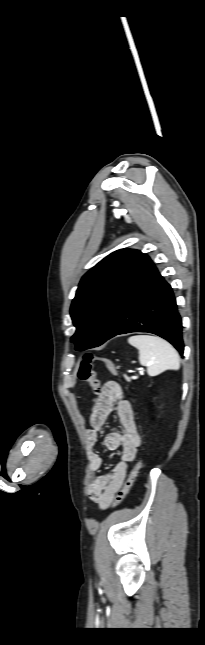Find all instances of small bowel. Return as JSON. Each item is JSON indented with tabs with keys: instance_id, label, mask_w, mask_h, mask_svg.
<instances>
[{
	"instance_id": "c3829d8e",
	"label": "small bowel",
	"mask_w": 205,
	"mask_h": 645,
	"mask_svg": "<svg viewBox=\"0 0 205 645\" xmlns=\"http://www.w3.org/2000/svg\"><path fill=\"white\" fill-rule=\"evenodd\" d=\"M112 413L118 415L122 432L107 434L103 439V444L108 450H116L121 447V457L110 472L98 474L104 464L102 456L95 451L98 432L104 427ZM90 426L84 433L91 472L89 497L99 505L100 509H106L122 487L129 464L136 458L142 438L130 401L122 395L119 388H111L109 383L104 385L95 401L90 417Z\"/></svg>"
}]
</instances>
